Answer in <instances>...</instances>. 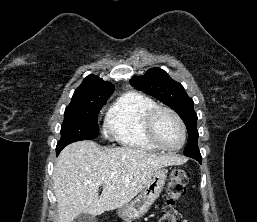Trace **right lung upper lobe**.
Segmentation results:
<instances>
[{
	"label": "right lung upper lobe",
	"mask_w": 257,
	"mask_h": 222,
	"mask_svg": "<svg viewBox=\"0 0 257 222\" xmlns=\"http://www.w3.org/2000/svg\"><path fill=\"white\" fill-rule=\"evenodd\" d=\"M114 88L112 83L103 81L95 75H89L75 90L71 102L96 98H109L114 92Z\"/></svg>",
	"instance_id": "cb5924a9"
}]
</instances>
